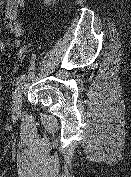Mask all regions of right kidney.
I'll use <instances>...</instances> for the list:
<instances>
[{
  "mask_svg": "<svg viewBox=\"0 0 131 177\" xmlns=\"http://www.w3.org/2000/svg\"><path fill=\"white\" fill-rule=\"evenodd\" d=\"M51 1H53V0H44V3H45L46 5H49ZM54 1H55V0H54Z\"/></svg>",
  "mask_w": 131,
  "mask_h": 177,
  "instance_id": "obj_1",
  "label": "right kidney"
}]
</instances>
